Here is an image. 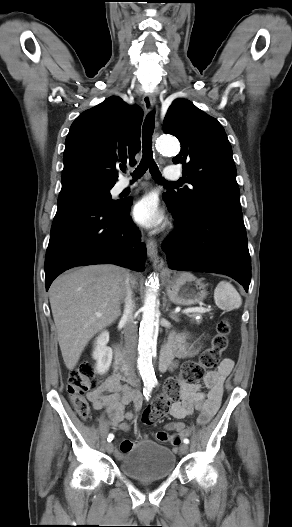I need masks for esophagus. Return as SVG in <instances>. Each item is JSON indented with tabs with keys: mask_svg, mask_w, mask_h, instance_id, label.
<instances>
[{
	"mask_svg": "<svg viewBox=\"0 0 292 527\" xmlns=\"http://www.w3.org/2000/svg\"><path fill=\"white\" fill-rule=\"evenodd\" d=\"M156 103L155 94H147L143 97V104L147 112H151L154 109ZM147 255L153 263L154 268L161 269L164 265L162 257L158 254V246L155 240L149 239L147 241Z\"/></svg>",
	"mask_w": 292,
	"mask_h": 527,
	"instance_id": "esophagus-1",
	"label": "esophagus"
}]
</instances>
